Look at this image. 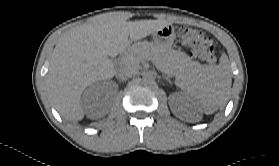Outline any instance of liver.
I'll return each mask as SVG.
<instances>
[{
    "instance_id": "obj_1",
    "label": "liver",
    "mask_w": 279,
    "mask_h": 166,
    "mask_svg": "<svg viewBox=\"0 0 279 166\" xmlns=\"http://www.w3.org/2000/svg\"><path fill=\"white\" fill-rule=\"evenodd\" d=\"M170 24L165 19L126 21L121 14L111 13L65 32L53 50L46 76L57 111L68 120H82L83 90L115 75L108 57Z\"/></svg>"
}]
</instances>
